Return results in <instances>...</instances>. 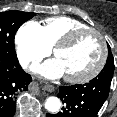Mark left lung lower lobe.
<instances>
[{
	"mask_svg": "<svg viewBox=\"0 0 117 117\" xmlns=\"http://www.w3.org/2000/svg\"><path fill=\"white\" fill-rule=\"evenodd\" d=\"M108 86L92 79L83 85L59 87L58 97L64 107L57 114L46 117H96L109 94Z\"/></svg>",
	"mask_w": 117,
	"mask_h": 117,
	"instance_id": "obj_1",
	"label": "left lung lower lobe"
}]
</instances>
